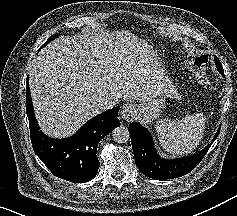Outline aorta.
<instances>
[{
  "label": "aorta",
  "mask_w": 237,
  "mask_h": 216,
  "mask_svg": "<svg viewBox=\"0 0 237 216\" xmlns=\"http://www.w3.org/2000/svg\"><path fill=\"white\" fill-rule=\"evenodd\" d=\"M113 140L119 144L127 143L130 139L129 130L125 126L116 127L112 131Z\"/></svg>",
  "instance_id": "obj_1"
}]
</instances>
